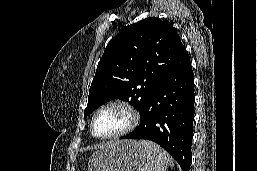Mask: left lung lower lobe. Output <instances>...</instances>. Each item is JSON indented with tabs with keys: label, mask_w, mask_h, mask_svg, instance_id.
<instances>
[{
	"label": "left lung lower lobe",
	"mask_w": 257,
	"mask_h": 171,
	"mask_svg": "<svg viewBox=\"0 0 257 171\" xmlns=\"http://www.w3.org/2000/svg\"><path fill=\"white\" fill-rule=\"evenodd\" d=\"M194 75L183 46L166 66L141 114L139 126L121 139H146L162 146L189 171L194 118Z\"/></svg>",
	"instance_id": "left-lung-lower-lobe-1"
}]
</instances>
